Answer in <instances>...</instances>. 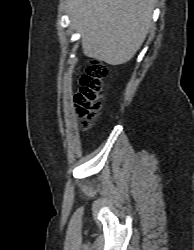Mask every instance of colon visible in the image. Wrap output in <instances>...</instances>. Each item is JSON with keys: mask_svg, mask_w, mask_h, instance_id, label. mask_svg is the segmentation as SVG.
<instances>
[{"mask_svg": "<svg viewBox=\"0 0 194 250\" xmlns=\"http://www.w3.org/2000/svg\"><path fill=\"white\" fill-rule=\"evenodd\" d=\"M107 75L105 65L93 62L79 78L80 88L75 95V107L84 127H88L99 114Z\"/></svg>", "mask_w": 194, "mask_h": 250, "instance_id": "5ec220e1", "label": "colon"}]
</instances>
